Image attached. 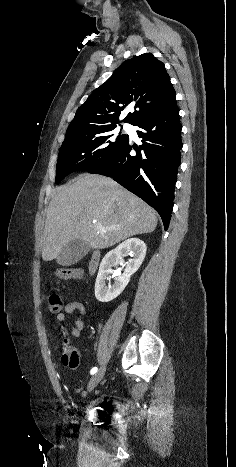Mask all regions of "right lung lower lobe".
Returning a JSON list of instances; mask_svg holds the SVG:
<instances>
[{"instance_id": "1", "label": "right lung lower lobe", "mask_w": 236, "mask_h": 467, "mask_svg": "<svg viewBox=\"0 0 236 467\" xmlns=\"http://www.w3.org/2000/svg\"><path fill=\"white\" fill-rule=\"evenodd\" d=\"M135 126L141 128L137 133L143 138L138 150L128 139L112 157L87 172L112 177L142 198L160 214L167 230L182 149L176 100ZM132 147L137 151L135 156L130 154Z\"/></svg>"}]
</instances>
